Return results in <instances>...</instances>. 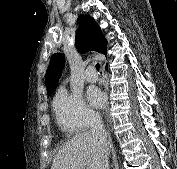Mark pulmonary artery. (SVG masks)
Returning <instances> with one entry per match:
<instances>
[{"label": "pulmonary artery", "mask_w": 177, "mask_h": 169, "mask_svg": "<svg viewBox=\"0 0 177 169\" xmlns=\"http://www.w3.org/2000/svg\"><path fill=\"white\" fill-rule=\"evenodd\" d=\"M84 78L87 82L93 83L98 80V73L96 72L95 68L93 66H88Z\"/></svg>", "instance_id": "pulmonary-artery-1"}]
</instances>
